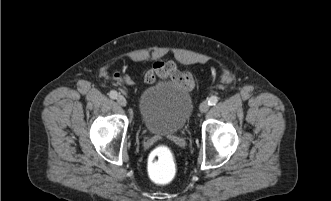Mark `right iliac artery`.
<instances>
[{
	"label": "right iliac artery",
	"instance_id": "82829eb1",
	"mask_svg": "<svg viewBox=\"0 0 331 201\" xmlns=\"http://www.w3.org/2000/svg\"><path fill=\"white\" fill-rule=\"evenodd\" d=\"M109 96L112 99H117L118 93L116 91L112 90V91L109 92Z\"/></svg>",
	"mask_w": 331,
	"mask_h": 201
}]
</instances>
